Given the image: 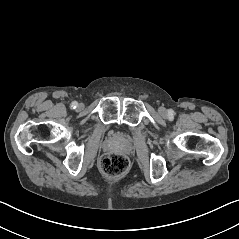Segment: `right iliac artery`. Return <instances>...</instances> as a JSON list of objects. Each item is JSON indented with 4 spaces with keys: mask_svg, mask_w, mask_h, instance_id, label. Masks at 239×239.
Here are the masks:
<instances>
[{
    "mask_svg": "<svg viewBox=\"0 0 239 239\" xmlns=\"http://www.w3.org/2000/svg\"><path fill=\"white\" fill-rule=\"evenodd\" d=\"M77 106H78V103H77L76 101H73V102L71 103V108H72V109L77 108Z\"/></svg>",
    "mask_w": 239,
    "mask_h": 239,
    "instance_id": "82829eb1",
    "label": "right iliac artery"
}]
</instances>
